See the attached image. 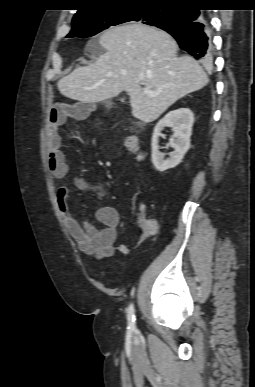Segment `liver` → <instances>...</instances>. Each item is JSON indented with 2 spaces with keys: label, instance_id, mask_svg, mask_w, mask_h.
Segmentation results:
<instances>
[{
  "label": "liver",
  "instance_id": "liver-1",
  "mask_svg": "<svg viewBox=\"0 0 255 387\" xmlns=\"http://www.w3.org/2000/svg\"><path fill=\"white\" fill-rule=\"evenodd\" d=\"M99 44L104 54L58 81L63 96L81 103L100 102L126 91L133 117L149 123L209 81L192 57L177 56L176 41L163 30L126 24L106 30ZM145 87L155 95H148Z\"/></svg>",
  "mask_w": 255,
  "mask_h": 387
}]
</instances>
